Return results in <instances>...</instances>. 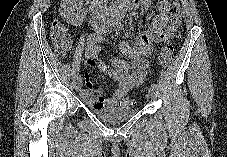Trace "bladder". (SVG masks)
Instances as JSON below:
<instances>
[{
  "mask_svg": "<svg viewBox=\"0 0 227 157\" xmlns=\"http://www.w3.org/2000/svg\"><path fill=\"white\" fill-rule=\"evenodd\" d=\"M137 112L138 109L134 107H105L92 109V113L98 119L108 124L126 121L136 115Z\"/></svg>",
  "mask_w": 227,
  "mask_h": 157,
  "instance_id": "bladder-1",
  "label": "bladder"
}]
</instances>
